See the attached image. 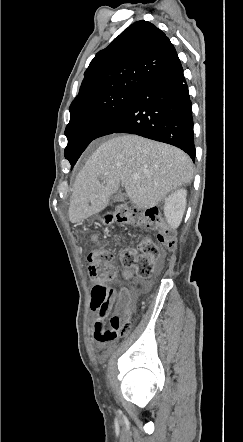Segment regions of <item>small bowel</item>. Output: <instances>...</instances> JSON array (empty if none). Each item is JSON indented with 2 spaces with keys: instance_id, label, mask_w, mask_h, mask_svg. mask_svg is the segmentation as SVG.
<instances>
[{
  "instance_id": "1",
  "label": "small bowel",
  "mask_w": 243,
  "mask_h": 442,
  "mask_svg": "<svg viewBox=\"0 0 243 442\" xmlns=\"http://www.w3.org/2000/svg\"><path fill=\"white\" fill-rule=\"evenodd\" d=\"M124 276L126 278H132L133 274L131 271H124ZM135 288L133 290L122 288L119 291L116 304V314L121 311H127L133 309L137 292L139 291V281L134 279ZM115 301V296L113 297L112 303L110 305L103 306L101 308L92 307V329L93 336L97 344V348L102 356H106L109 352V347L112 341L101 340L102 335L106 331L105 329V318L107 317L112 304Z\"/></svg>"
}]
</instances>
